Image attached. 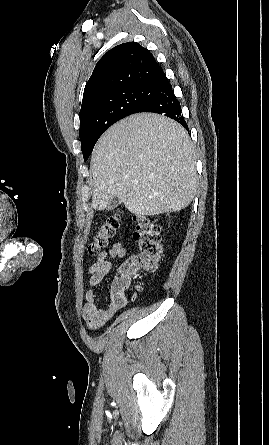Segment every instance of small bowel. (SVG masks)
I'll list each match as a JSON object with an SVG mask.
<instances>
[{
  "instance_id": "1",
  "label": "small bowel",
  "mask_w": 269,
  "mask_h": 445,
  "mask_svg": "<svg viewBox=\"0 0 269 445\" xmlns=\"http://www.w3.org/2000/svg\"><path fill=\"white\" fill-rule=\"evenodd\" d=\"M127 255V246L117 242L108 252H100L96 262L88 268L89 289L86 292V304L83 307L82 316L90 331L102 328L127 303L125 292L116 293L112 288L106 304L101 303L95 292V288L111 271V259L124 258ZM118 296L120 299L117 298Z\"/></svg>"
}]
</instances>
